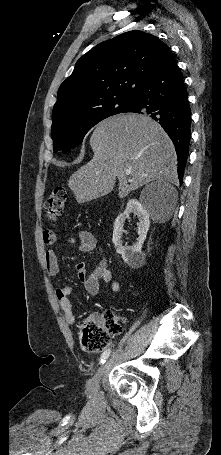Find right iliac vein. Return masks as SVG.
Instances as JSON below:
<instances>
[{
    "mask_svg": "<svg viewBox=\"0 0 221 455\" xmlns=\"http://www.w3.org/2000/svg\"><path fill=\"white\" fill-rule=\"evenodd\" d=\"M107 366H108V362L105 363L103 366H101L98 369V371L96 372V374L93 376V378L88 381V383L86 385V391L89 395H91L97 391V389L99 387L100 379H101L103 373L105 372Z\"/></svg>",
    "mask_w": 221,
    "mask_h": 455,
    "instance_id": "63e3f726",
    "label": "right iliac vein"
}]
</instances>
